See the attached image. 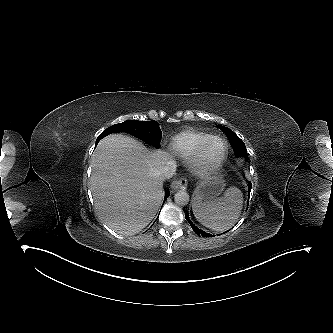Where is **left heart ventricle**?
<instances>
[{"mask_svg": "<svg viewBox=\"0 0 333 333\" xmlns=\"http://www.w3.org/2000/svg\"><path fill=\"white\" fill-rule=\"evenodd\" d=\"M222 152L223 143L219 140L212 141L205 152V160L207 162H214L221 156Z\"/></svg>", "mask_w": 333, "mask_h": 333, "instance_id": "obj_1", "label": "left heart ventricle"}]
</instances>
